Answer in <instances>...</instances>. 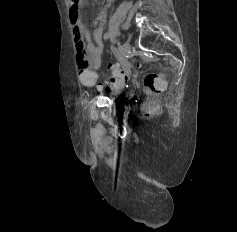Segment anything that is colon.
I'll use <instances>...</instances> for the list:
<instances>
[{"label": "colon", "instance_id": "obj_1", "mask_svg": "<svg viewBox=\"0 0 237 232\" xmlns=\"http://www.w3.org/2000/svg\"><path fill=\"white\" fill-rule=\"evenodd\" d=\"M111 75L109 80L106 82L107 89H121L124 87L128 80V68L126 65L115 62L109 65ZM80 81L84 86H93L96 84L97 75L90 70H81ZM144 90L147 94L157 95L164 91L166 87V80L163 75L158 73L147 74L143 81ZM157 107L154 104L147 106V113H153Z\"/></svg>", "mask_w": 237, "mask_h": 232}]
</instances>
